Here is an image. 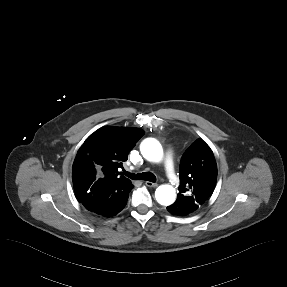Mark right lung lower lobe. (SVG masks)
Here are the masks:
<instances>
[{
	"label": "right lung lower lobe",
	"instance_id": "obj_1",
	"mask_svg": "<svg viewBox=\"0 0 287 287\" xmlns=\"http://www.w3.org/2000/svg\"><path fill=\"white\" fill-rule=\"evenodd\" d=\"M133 184L113 182L92 185L83 202V206L95 214L111 217L119 213L126 205Z\"/></svg>",
	"mask_w": 287,
	"mask_h": 287
}]
</instances>
